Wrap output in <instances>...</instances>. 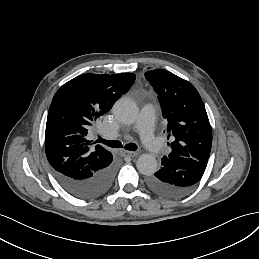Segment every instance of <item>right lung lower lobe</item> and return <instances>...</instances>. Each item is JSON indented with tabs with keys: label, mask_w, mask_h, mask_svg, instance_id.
<instances>
[{
	"label": "right lung lower lobe",
	"mask_w": 259,
	"mask_h": 259,
	"mask_svg": "<svg viewBox=\"0 0 259 259\" xmlns=\"http://www.w3.org/2000/svg\"><path fill=\"white\" fill-rule=\"evenodd\" d=\"M53 172L59 184L74 197L94 199L101 197L110 189L115 175V166L110 164L86 179L71 178L55 171Z\"/></svg>",
	"instance_id": "98d812e1"
}]
</instances>
